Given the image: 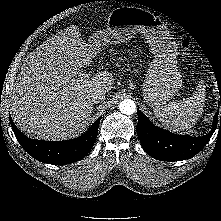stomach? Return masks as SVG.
I'll list each match as a JSON object with an SVG mask.
<instances>
[{
	"instance_id": "obj_1",
	"label": "stomach",
	"mask_w": 221,
	"mask_h": 221,
	"mask_svg": "<svg viewBox=\"0 0 221 221\" xmlns=\"http://www.w3.org/2000/svg\"><path fill=\"white\" fill-rule=\"evenodd\" d=\"M137 33L144 36L154 57L142 87L144 99L151 106L165 104L182 87V79L176 62L177 45L160 18L138 7L115 8L108 16L107 27L93 33L88 44L97 50L129 41Z\"/></svg>"
}]
</instances>
